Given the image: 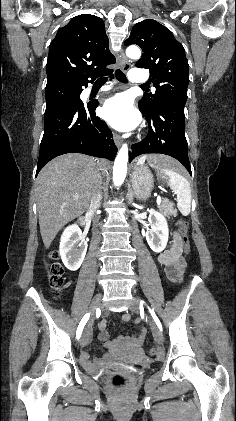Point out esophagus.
<instances>
[{"instance_id":"obj_1","label":"esophagus","mask_w":236,"mask_h":421,"mask_svg":"<svg viewBox=\"0 0 236 421\" xmlns=\"http://www.w3.org/2000/svg\"><path fill=\"white\" fill-rule=\"evenodd\" d=\"M120 56H121V60H122V69H123V71H127V69L129 68V63H128V60H127L123 51H121ZM113 138H114V142H115L116 146L119 147L122 144L121 136L118 135L117 133H114Z\"/></svg>"}]
</instances>
